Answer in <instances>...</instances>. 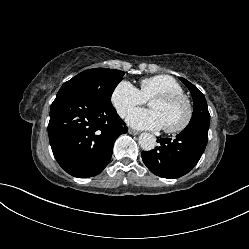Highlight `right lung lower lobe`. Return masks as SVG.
Segmentation results:
<instances>
[{
    "label": "right lung lower lobe",
    "instance_id": "1",
    "mask_svg": "<svg viewBox=\"0 0 249 249\" xmlns=\"http://www.w3.org/2000/svg\"><path fill=\"white\" fill-rule=\"evenodd\" d=\"M127 131L113 106L79 92L59 91L51 105V148L59 165L74 177L99 174L111 159L115 140Z\"/></svg>",
    "mask_w": 249,
    "mask_h": 249
}]
</instances>
